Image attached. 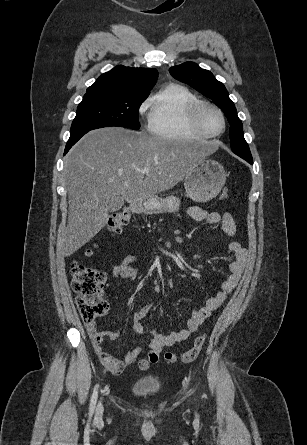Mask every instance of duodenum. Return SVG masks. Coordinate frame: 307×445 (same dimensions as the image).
Segmentation results:
<instances>
[{"instance_id":"1","label":"duodenum","mask_w":307,"mask_h":445,"mask_svg":"<svg viewBox=\"0 0 307 445\" xmlns=\"http://www.w3.org/2000/svg\"><path fill=\"white\" fill-rule=\"evenodd\" d=\"M142 209V201L138 200L132 205V210L134 212H139Z\"/></svg>"}]
</instances>
